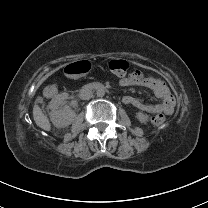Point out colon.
I'll return each instance as SVG.
<instances>
[{
    "instance_id": "1",
    "label": "colon",
    "mask_w": 208,
    "mask_h": 208,
    "mask_svg": "<svg viewBox=\"0 0 208 208\" xmlns=\"http://www.w3.org/2000/svg\"><path fill=\"white\" fill-rule=\"evenodd\" d=\"M128 69V63L122 59L112 60L109 63V70L117 75H125ZM92 70V65L88 61H82L73 66V64H69L65 67L64 73L67 77H75L82 76L84 74L90 73ZM165 123V116L156 115L152 118V125L156 127H160Z\"/></svg>"
}]
</instances>
